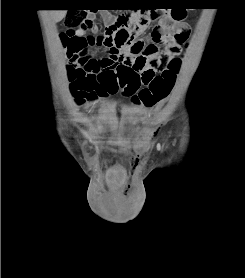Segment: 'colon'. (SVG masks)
<instances>
[{
	"instance_id": "obj_1",
	"label": "colon",
	"mask_w": 245,
	"mask_h": 278,
	"mask_svg": "<svg viewBox=\"0 0 245 278\" xmlns=\"http://www.w3.org/2000/svg\"><path fill=\"white\" fill-rule=\"evenodd\" d=\"M158 16L159 12L157 10L123 13L118 18L117 24L107 28L95 41L102 45L109 41L115 48L125 47L130 52H139L142 55H152L156 58L160 57L161 51L158 47L154 45L145 46L141 41L134 39L133 36L139 26H148ZM172 16L175 20H182L185 13L182 10H174ZM64 25L66 31L61 33L60 41L66 50V59L71 63L88 54L93 48L94 41L91 37H78L74 35V32L79 29H91L93 25L86 18V13L82 9L68 12L64 19ZM165 35L167 37V49L174 53H178L186 45L187 37L175 30H170ZM179 67L180 58L174 56L162 72H155L150 69L141 75L129 72L127 76L121 77L116 85L110 86L108 92L116 94L121 91L125 96L130 97L134 104L153 107L169 96L176 82ZM89 68L90 64L84 61L81 62V66L71 64L67 66L70 92L75 105L78 107L94 99V83L88 73ZM141 84H144V87L140 88ZM149 151L150 146L148 144H141L138 148V153L141 155H146Z\"/></svg>"
}]
</instances>
